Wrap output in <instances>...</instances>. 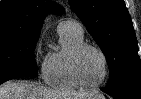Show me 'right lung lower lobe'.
<instances>
[{"label": "right lung lower lobe", "instance_id": "obj_1", "mask_svg": "<svg viewBox=\"0 0 141 99\" xmlns=\"http://www.w3.org/2000/svg\"><path fill=\"white\" fill-rule=\"evenodd\" d=\"M18 77H25V76H13V77H8V78H5V79H1L0 80V84L8 81V80H11V79H14V78H18Z\"/></svg>", "mask_w": 141, "mask_h": 99}]
</instances>
